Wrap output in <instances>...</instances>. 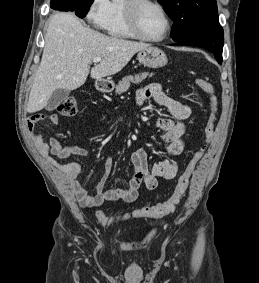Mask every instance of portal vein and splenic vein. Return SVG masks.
I'll use <instances>...</instances> for the list:
<instances>
[{"label": "portal vein and splenic vein", "instance_id": "obj_1", "mask_svg": "<svg viewBox=\"0 0 259 283\" xmlns=\"http://www.w3.org/2000/svg\"><path fill=\"white\" fill-rule=\"evenodd\" d=\"M101 61V58L100 57H96L93 59V62L94 63H99Z\"/></svg>", "mask_w": 259, "mask_h": 283}]
</instances>
